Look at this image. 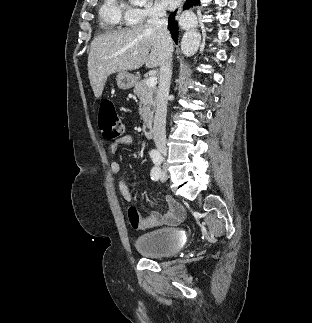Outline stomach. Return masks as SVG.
Masks as SVG:
<instances>
[{"label": "stomach", "mask_w": 312, "mask_h": 323, "mask_svg": "<svg viewBox=\"0 0 312 323\" xmlns=\"http://www.w3.org/2000/svg\"><path fill=\"white\" fill-rule=\"evenodd\" d=\"M137 80V76L129 74V72H118L116 76L117 86L120 90H129V88H133Z\"/></svg>", "instance_id": "0dacf381"}]
</instances>
